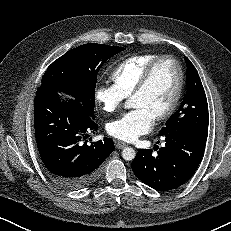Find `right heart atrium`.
Returning <instances> with one entry per match:
<instances>
[{"instance_id": "1", "label": "right heart atrium", "mask_w": 231, "mask_h": 231, "mask_svg": "<svg viewBox=\"0 0 231 231\" xmlns=\"http://www.w3.org/2000/svg\"><path fill=\"white\" fill-rule=\"evenodd\" d=\"M94 96L96 102L107 113L116 111L125 100L118 88L114 84L109 83L97 85Z\"/></svg>"}]
</instances>
